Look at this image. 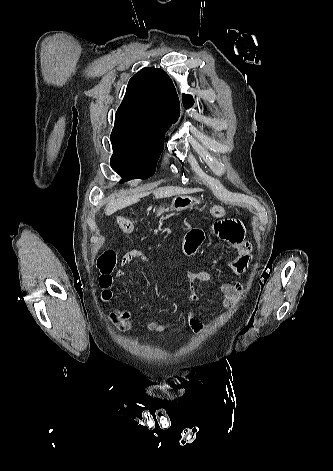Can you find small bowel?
<instances>
[{
  "mask_svg": "<svg viewBox=\"0 0 333 471\" xmlns=\"http://www.w3.org/2000/svg\"><path fill=\"white\" fill-rule=\"evenodd\" d=\"M212 232L221 240L227 242L235 252V256L228 262L230 271L239 275L244 273L252 263V245L245 238V230L243 221L239 218L228 217L218 218L212 227ZM205 239V233L202 229L191 230L184 241V250L187 254L195 252ZM140 260L141 262H147V255L138 249H131L124 254L121 259V265L125 266L131 263L133 260ZM187 278L190 283V299L192 301L198 300V294L196 291V285L198 283L210 282L214 279V275L209 271H187ZM117 277H123L124 272L118 270L116 272ZM220 297L218 302L225 308L234 307L238 301L243 297L244 290L243 286L239 281L223 282L219 285ZM108 320L111 324L116 326L121 331H127L131 329L133 324L132 314L127 310H121L114 308L108 315ZM188 326L194 332H201L205 329V325L192 313H189L186 317ZM146 330L150 332L166 333L172 326V322L160 323L158 321H150L145 325Z\"/></svg>",
  "mask_w": 333,
  "mask_h": 471,
  "instance_id": "c3829d8e",
  "label": "small bowel"
}]
</instances>
